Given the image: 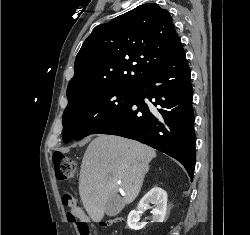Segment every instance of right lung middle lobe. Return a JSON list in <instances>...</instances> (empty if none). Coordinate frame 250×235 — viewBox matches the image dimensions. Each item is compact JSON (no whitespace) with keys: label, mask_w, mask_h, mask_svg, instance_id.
Segmentation results:
<instances>
[{"label":"right lung middle lobe","mask_w":250,"mask_h":235,"mask_svg":"<svg viewBox=\"0 0 250 235\" xmlns=\"http://www.w3.org/2000/svg\"><path fill=\"white\" fill-rule=\"evenodd\" d=\"M135 88L96 90L68 102L63 114V141L80 140L113 118L132 98Z\"/></svg>","instance_id":"dd1d6c3e"}]
</instances>
